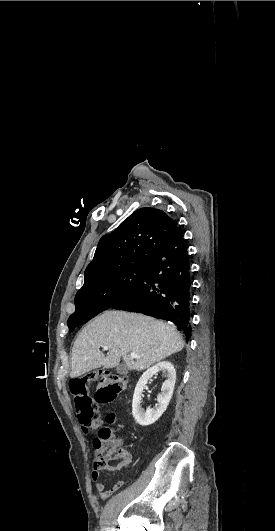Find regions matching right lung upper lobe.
Returning <instances> with one entry per match:
<instances>
[{
	"mask_svg": "<svg viewBox=\"0 0 275 531\" xmlns=\"http://www.w3.org/2000/svg\"><path fill=\"white\" fill-rule=\"evenodd\" d=\"M178 227L165 212L140 208L112 233L104 235L84 274V284L111 271L146 266Z\"/></svg>",
	"mask_w": 275,
	"mask_h": 531,
	"instance_id": "1",
	"label": "right lung upper lobe"
}]
</instances>
